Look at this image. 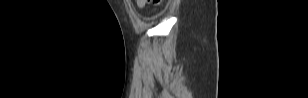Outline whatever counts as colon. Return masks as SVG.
Segmentation results:
<instances>
[{
  "label": "colon",
  "mask_w": 308,
  "mask_h": 98,
  "mask_svg": "<svg viewBox=\"0 0 308 98\" xmlns=\"http://www.w3.org/2000/svg\"><path fill=\"white\" fill-rule=\"evenodd\" d=\"M162 0H137V3L146 6L149 3H153L155 6L159 5Z\"/></svg>",
  "instance_id": "1"
}]
</instances>
